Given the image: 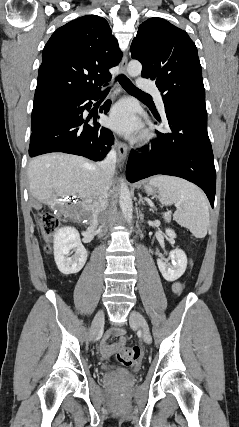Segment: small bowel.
Returning a JSON list of instances; mask_svg holds the SVG:
<instances>
[{"mask_svg":"<svg viewBox=\"0 0 239 427\" xmlns=\"http://www.w3.org/2000/svg\"><path fill=\"white\" fill-rule=\"evenodd\" d=\"M172 291L176 294L181 291V284L179 282H174L172 284ZM119 336V339L114 344H109L108 339L113 336ZM126 343V336L123 330L118 328H113L108 330L103 339L100 342V351L104 358H109L116 350L122 347Z\"/></svg>","mask_w":239,"mask_h":427,"instance_id":"1","label":"small bowel"}]
</instances>
